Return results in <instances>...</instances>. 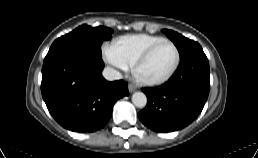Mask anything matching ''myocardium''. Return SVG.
I'll return each mask as SVG.
<instances>
[{
	"label": "myocardium",
	"mask_w": 258,
	"mask_h": 158,
	"mask_svg": "<svg viewBox=\"0 0 258 158\" xmlns=\"http://www.w3.org/2000/svg\"><path fill=\"white\" fill-rule=\"evenodd\" d=\"M170 44L174 47L175 52H176V60L174 65L172 66V68L163 76L159 77V78H155V79H150V78H145L140 74V69L142 68V66L146 63V61L148 60V58L151 56V54L162 44ZM181 62V54L179 51V48L177 47V45L168 39H163L159 42H157L156 44H154L153 46H151L150 48H148L143 54L142 56L138 59V61L135 63L134 65V72L137 75V77L144 83L148 84V85H160L165 83L166 81H168L173 75L174 73L177 71L179 65Z\"/></svg>",
	"instance_id": "myocardium-1"
}]
</instances>
